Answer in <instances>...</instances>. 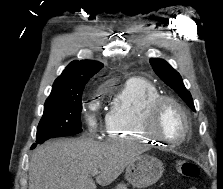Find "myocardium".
<instances>
[{
    "label": "myocardium",
    "instance_id": "f54148a6",
    "mask_svg": "<svg viewBox=\"0 0 223 189\" xmlns=\"http://www.w3.org/2000/svg\"><path fill=\"white\" fill-rule=\"evenodd\" d=\"M172 104L175 106L183 116L185 122L184 135L178 141L170 142L164 137H162L157 131V119L163 106L166 104ZM191 120L186 108L175 98L167 95H159L154 100H152L146 107L141 120V129L145 135L148 137L167 144L168 147H177L184 143L191 134Z\"/></svg>",
    "mask_w": 223,
    "mask_h": 189
}]
</instances>
